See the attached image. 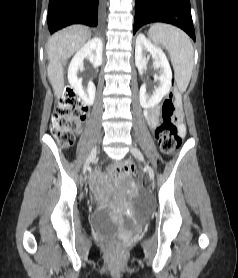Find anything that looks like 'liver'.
<instances>
[{
    "label": "liver",
    "instance_id": "6515ba94",
    "mask_svg": "<svg viewBox=\"0 0 238 278\" xmlns=\"http://www.w3.org/2000/svg\"><path fill=\"white\" fill-rule=\"evenodd\" d=\"M90 37L91 32L81 25L67 27L50 37L47 44V75L57 99L64 89L63 61L70 58Z\"/></svg>",
    "mask_w": 238,
    "mask_h": 278
}]
</instances>
